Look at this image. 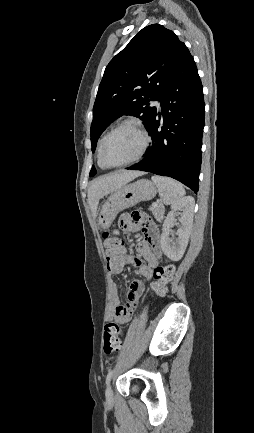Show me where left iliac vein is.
<instances>
[{
    "mask_svg": "<svg viewBox=\"0 0 254 433\" xmlns=\"http://www.w3.org/2000/svg\"><path fill=\"white\" fill-rule=\"evenodd\" d=\"M106 397H107V400H108V401H112V400H113V392H112V387H111V385H109V386L107 387V390H106Z\"/></svg>",
    "mask_w": 254,
    "mask_h": 433,
    "instance_id": "obj_1",
    "label": "left iliac vein"
}]
</instances>
